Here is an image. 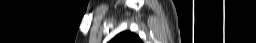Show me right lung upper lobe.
<instances>
[{
  "label": "right lung upper lobe",
  "mask_w": 256,
  "mask_h": 43,
  "mask_svg": "<svg viewBox=\"0 0 256 43\" xmlns=\"http://www.w3.org/2000/svg\"><path fill=\"white\" fill-rule=\"evenodd\" d=\"M110 43H142L141 39L132 32H122L115 36Z\"/></svg>",
  "instance_id": "obj_1"
}]
</instances>
